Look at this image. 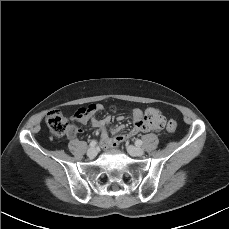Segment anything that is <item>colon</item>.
Segmentation results:
<instances>
[{"instance_id":"1","label":"colon","mask_w":229,"mask_h":229,"mask_svg":"<svg viewBox=\"0 0 229 229\" xmlns=\"http://www.w3.org/2000/svg\"><path fill=\"white\" fill-rule=\"evenodd\" d=\"M97 110L95 105H90L86 108L79 110L81 114H91ZM165 119L162 113L159 110L148 109L145 113V122L149 128H158L161 127ZM46 123L49 127L51 133L55 137H63L70 130V126L64 120L62 114L58 110H52L48 113L46 117ZM177 129V124L174 121L168 122L166 125V130L169 133L175 132Z\"/></svg>"}]
</instances>
